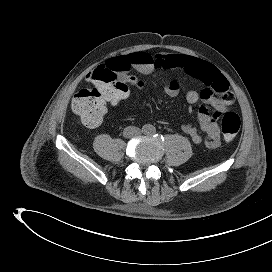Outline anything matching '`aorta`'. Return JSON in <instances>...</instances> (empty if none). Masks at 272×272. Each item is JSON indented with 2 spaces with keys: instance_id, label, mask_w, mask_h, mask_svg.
Listing matches in <instances>:
<instances>
[{
  "instance_id": "obj_1",
  "label": "aorta",
  "mask_w": 272,
  "mask_h": 272,
  "mask_svg": "<svg viewBox=\"0 0 272 272\" xmlns=\"http://www.w3.org/2000/svg\"><path fill=\"white\" fill-rule=\"evenodd\" d=\"M155 131V127L151 124H146L143 126V132L147 135L153 134Z\"/></svg>"
}]
</instances>
